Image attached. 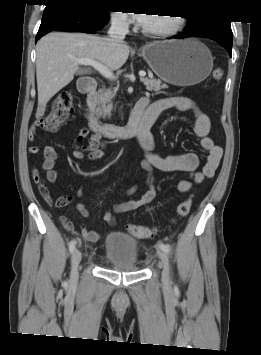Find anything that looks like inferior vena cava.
Returning <instances> with one entry per match:
<instances>
[{"instance_id":"1","label":"inferior vena cava","mask_w":261,"mask_h":355,"mask_svg":"<svg viewBox=\"0 0 261 355\" xmlns=\"http://www.w3.org/2000/svg\"><path fill=\"white\" fill-rule=\"evenodd\" d=\"M129 32L128 23L125 18L119 15H112L111 26L108 31V41L113 46H118L124 43V38Z\"/></svg>"}]
</instances>
